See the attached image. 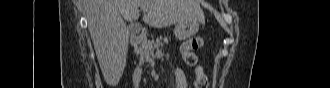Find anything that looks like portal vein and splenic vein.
Masks as SVG:
<instances>
[{"instance_id": "18ae733b", "label": "portal vein and splenic vein", "mask_w": 330, "mask_h": 88, "mask_svg": "<svg viewBox=\"0 0 330 88\" xmlns=\"http://www.w3.org/2000/svg\"><path fill=\"white\" fill-rule=\"evenodd\" d=\"M146 11V9H143V12H145Z\"/></svg>"}]
</instances>
